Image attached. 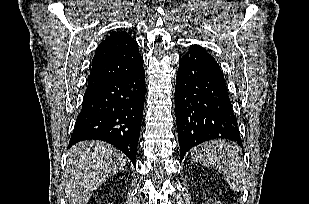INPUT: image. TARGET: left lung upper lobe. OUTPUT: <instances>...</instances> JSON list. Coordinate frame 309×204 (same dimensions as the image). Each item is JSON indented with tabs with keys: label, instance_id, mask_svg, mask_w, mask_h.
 Here are the masks:
<instances>
[{
	"label": "left lung upper lobe",
	"instance_id": "left-lung-upper-lobe-1",
	"mask_svg": "<svg viewBox=\"0 0 309 204\" xmlns=\"http://www.w3.org/2000/svg\"><path fill=\"white\" fill-rule=\"evenodd\" d=\"M191 47H197V48H200V49H202L200 46H198V45H192ZM211 56V55H210Z\"/></svg>",
	"mask_w": 309,
	"mask_h": 204
}]
</instances>
